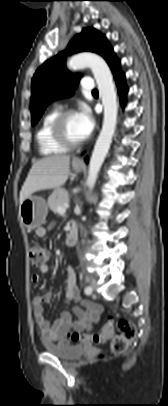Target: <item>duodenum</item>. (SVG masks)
Listing matches in <instances>:
<instances>
[{
    "instance_id": "duodenum-1",
    "label": "duodenum",
    "mask_w": 168,
    "mask_h": 406,
    "mask_svg": "<svg viewBox=\"0 0 168 406\" xmlns=\"http://www.w3.org/2000/svg\"><path fill=\"white\" fill-rule=\"evenodd\" d=\"M78 240V227L76 224L72 223L66 233L65 243L69 246H73Z\"/></svg>"
}]
</instances>
